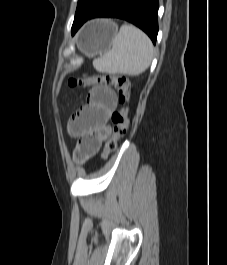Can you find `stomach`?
I'll return each mask as SVG.
<instances>
[{
	"instance_id": "0dacf381",
	"label": "stomach",
	"mask_w": 227,
	"mask_h": 265,
	"mask_svg": "<svg viewBox=\"0 0 227 265\" xmlns=\"http://www.w3.org/2000/svg\"><path fill=\"white\" fill-rule=\"evenodd\" d=\"M117 30V25L112 21L94 20L86 26L79 41V49L88 57L101 54L110 49Z\"/></svg>"
}]
</instances>
